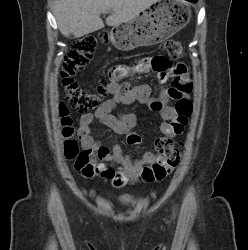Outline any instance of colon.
I'll return each instance as SVG.
<instances>
[{
    "mask_svg": "<svg viewBox=\"0 0 248 250\" xmlns=\"http://www.w3.org/2000/svg\"><path fill=\"white\" fill-rule=\"evenodd\" d=\"M95 48V38H80L74 41L70 51L64 56L61 63V86L64 89L67 104L80 112L97 110L102 104L106 87L109 84L106 79H101L94 89L88 90L74 80V76L85 69L91 61ZM162 49L171 59H179L184 56L183 45L178 40H166L162 44ZM160 62V60H155L156 64H160ZM170 96L173 99H178V94L173 89L170 90ZM61 116L63 136L65 138V157L68 160H74L78 168L97 172L98 168L93 165L95 162L90 159L92 152L81 151L77 140L74 138L73 119L69 116L66 106L61 108ZM155 148L161 155V162L145 168L143 172L144 177L152 181L162 180L169 169L176 168L181 156L179 147L170 138H159L155 143Z\"/></svg>",
    "mask_w": 248,
    "mask_h": 250,
    "instance_id": "obj_1",
    "label": "colon"
}]
</instances>
